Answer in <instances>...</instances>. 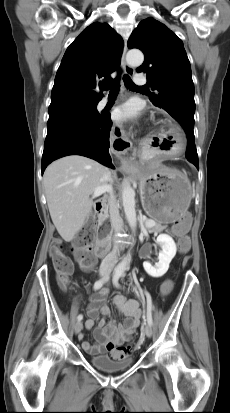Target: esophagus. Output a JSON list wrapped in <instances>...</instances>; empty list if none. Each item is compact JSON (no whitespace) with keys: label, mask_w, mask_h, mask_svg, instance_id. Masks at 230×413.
Returning a JSON list of instances; mask_svg holds the SVG:
<instances>
[{"label":"esophagus","mask_w":230,"mask_h":413,"mask_svg":"<svg viewBox=\"0 0 230 413\" xmlns=\"http://www.w3.org/2000/svg\"><path fill=\"white\" fill-rule=\"evenodd\" d=\"M126 52H127V44H126V42H125L124 48H123L122 57H121V65H122V67H123V69H124V72H125L127 75L133 76V75H134V69H133L131 66H129V65L127 64V62H126ZM122 136H123V138H124V140H125V142H124V141H121V143H122V145L124 146V148H123V149H119V150H121V152H125L127 149L130 148L131 144L129 143L128 140H126V138H125V136H124V133H122ZM127 167H128V166H127V164H125V163H123V164L121 165V168H122V169H126Z\"/></svg>","instance_id":"obj_1"}]
</instances>
